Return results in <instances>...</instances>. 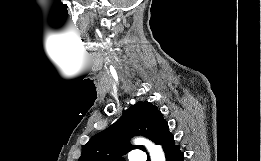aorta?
<instances>
[{"label":"aorta","instance_id":"obj_1","mask_svg":"<svg viewBox=\"0 0 261 161\" xmlns=\"http://www.w3.org/2000/svg\"><path fill=\"white\" fill-rule=\"evenodd\" d=\"M134 142L145 145L150 154L151 161H165V155L160 145H155L151 141L144 138H136Z\"/></svg>","mask_w":261,"mask_h":161}]
</instances>
